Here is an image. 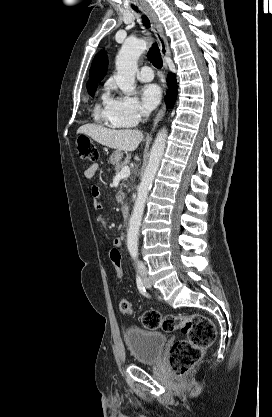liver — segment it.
I'll use <instances>...</instances> for the list:
<instances>
[{
  "label": "liver",
  "instance_id": "6515ba94",
  "mask_svg": "<svg viewBox=\"0 0 272 417\" xmlns=\"http://www.w3.org/2000/svg\"><path fill=\"white\" fill-rule=\"evenodd\" d=\"M78 134H85L98 143L120 151H134L143 139L139 130L108 129L96 124H85L78 128Z\"/></svg>",
  "mask_w": 272,
  "mask_h": 417
}]
</instances>
